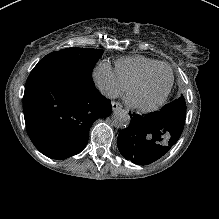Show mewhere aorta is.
<instances>
[{
  "mask_svg": "<svg viewBox=\"0 0 219 219\" xmlns=\"http://www.w3.org/2000/svg\"><path fill=\"white\" fill-rule=\"evenodd\" d=\"M130 120V115L124 109L115 110L111 118L113 126L119 129L128 127V125L130 124Z\"/></svg>",
  "mask_w": 219,
  "mask_h": 219,
  "instance_id": "1",
  "label": "aorta"
}]
</instances>
